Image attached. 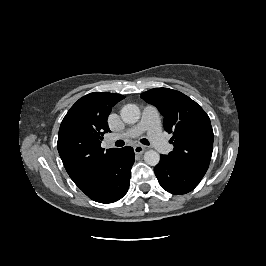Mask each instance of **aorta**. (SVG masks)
Segmentation results:
<instances>
[{
    "instance_id": "obj_1",
    "label": "aorta",
    "mask_w": 266,
    "mask_h": 266,
    "mask_svg": "<svg viewBox=\"0 0 266 266\" xmlns=\"http://www.w3.org/2000/svg\"><path fill=\"white\" fill-rule=\"evenodd\" d=\"M121 118L125 123L134 124L140 118V110L135 104H127L121 110ZM160 155L154 150H148L144 154V161L150 166H156L159 163Z\"/></svg>"
}]
</instances>
